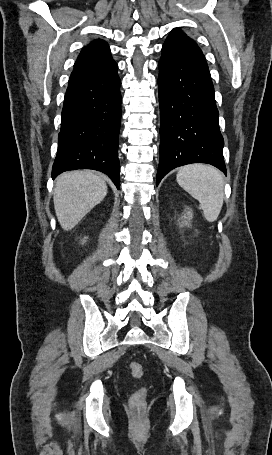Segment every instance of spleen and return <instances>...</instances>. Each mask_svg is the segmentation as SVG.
Instances as JSON below:
<instances>
[{"mask_svg": "<svg viewBox=\"0 0 272 455\" xmlns=\"http://www.w3.org/2000/svg\"><path fill=\"white\" fill-rule=\"evenodd\" d=\"M178 184L197 199L204 217L214 222L221 211L224 199V181L221 172L209 165L192 164L180 169Z\"/></svg>", "mask_w": 272, "mask_h": 455, "instance_id": "1", "label": "spleen"}]
</instances>
